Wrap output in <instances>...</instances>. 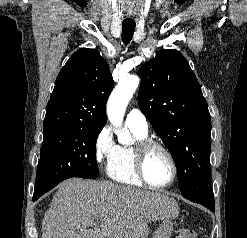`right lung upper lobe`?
Returning <instances> with one entry per match:
<instances>
[{
  "label": "right lung upper lobe",
  "mask_w": 247,
  "mask_h": 238,
  "mask_svg": "<svg viewBox=\"0 0 247 238\" xmlns=\"http://www.w3.org/2000/svg\"><path fill=\"white\" fill-rule=\"evenodd\" d=\"M114 81L95 49L80 48L66 62L47 104L43 132L79 125L105 126Z\"/></svg>",
  "instance_id": "obj_1"
}]
</instances>
